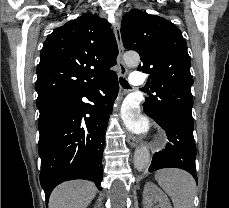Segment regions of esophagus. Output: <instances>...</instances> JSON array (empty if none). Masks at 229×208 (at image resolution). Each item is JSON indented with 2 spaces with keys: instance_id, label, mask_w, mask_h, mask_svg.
<instances>
[{
  "instance_id": "34e87169",
  "label": "esophagus",
  "mask_w": 229,
  "mask_h": 208,
  "mask_svg": "<svg viewBox=\"0 0 229 208\" xmlns=\"http://www.w3.org/2000/svg\"><path fill=\"white\" fill-rule=\"evenodd\" d=\"M113 28H114V33L116 36V41H117L118 50H119L118 57H117V65L119 67V75H120V77H125L128 74V70H127V67L123 61L124 47H123V42H122V37H121V32H120V24L117 20L115 21ZM126 140L129 143V145L132 147H135L138 143L135 136L132 135L131 133L127 134Z\"/></svg>"
}]
</instances>
